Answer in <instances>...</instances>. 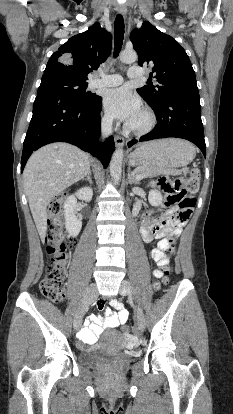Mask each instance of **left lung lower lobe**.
Instances as JSON below:
<instances>
[{"label": "left lung lower lobe", "mask_w": 233, "mask_h": 414, "mask_svg": "<svg viewBox=\"0 0 233 414\" xmlns=\"http://www.w3.org/2000/svg\"><path fill=\"white\" fill-rule=\"evenodd\" d=\"M157 125L153 131L139 140L128 142L131 147L137 142L158 138L177 137L193 142L206 154L199 93L180 94L169 97L154 110Z\"/></svg>", "instance_id": "1"}]
</instances>
